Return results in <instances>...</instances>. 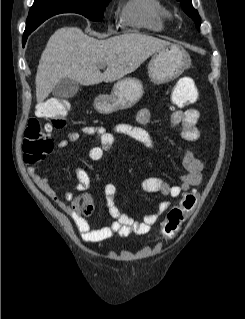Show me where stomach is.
<instances>
[{
  "label": "stomach",
  "instance_id": "obj_1",
  "mask_svg": "<svg viewBox=\"0 0 245 319\" xmlns=\"http://www.w3.org/2000/svg\"><path fill=\"white\" fill-rule=\"evenodd\" d=\"M191 64L189 54L178 45L156 51L148 65V75L155 84L167 83L183 73ZM143 85L137 78H124L117 81L110 95H99L94 100L95 109L101 114L131 108L142 97Z\"/></svg>",
  "mask_w": 245,
  "mask_h": 319
}]
</instances>
